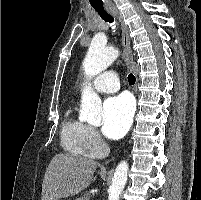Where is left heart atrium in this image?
<instances>
[{
  "instance_id": "obj_1",
  "label": "left heart atrium",
  "mask_w": 201,
  "mask_h": 200,
  "mask_svg": "<svg viewBox=\"0 0 201 200\" xmlns=\"http://www.w3.org/2000/svg\"><path fill=\"white\" fill-rule=\"evenodd\" d=\"M133 111V103L125 94L106 100L103 105L104 135L114 140L122 138L131 126Z\"/></svg>"
}]
</instances>
